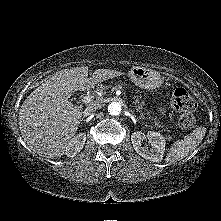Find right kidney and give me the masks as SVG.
<instances>
[{
  "instance_id": "right-kidney-1",
  "label": "right kidney",
  "mask_w": 221,
  "mask_h": 221,
  "mask_svg": "<svg viewBox=\"0 0 221 221\" xmlns=\"http://www.w3.org/2000/svg\"><path fill=\"white\" fill-rule=\"evenodd\" d=\"M85 141V133H79L74 138H72L65 150V154L67 155V157L76 156L83 149Z\"/></svg>"
}]
</instances>
